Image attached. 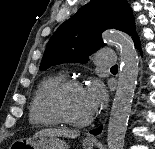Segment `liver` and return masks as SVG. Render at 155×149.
I'll return each instance as SVG.
<instances>
[{
  "instance_id": "1",
  "label": "liver",
  "mask_w": 155,
  "mask_h": 149,
  "mask_svg": "<svg viewBox=\"0 0 155 149\" xmlns=\"http://www.w3.org/2000/svg\"><path fill=\"white\" fill-rule=\"evenodd\" d=\"M38 135H53L58 137L60 136L66 138H76L80 135V131L67 128H61V129L48 128L38 131L37 133H35L34 136Z\"/></svg>"
}]
</instances>
